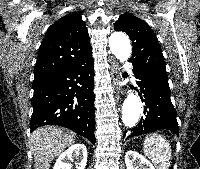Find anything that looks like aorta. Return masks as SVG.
I'll use <instances>...</instances> for the list:
<instances>
[{"mask_svg":"<svg viewBox=\"0 0 200 169\" xmlns=\"http://www.w3.org/2000/svg\"><path fill=\"white\" fill-rule=\"evenodd\" d=\"M109 47L113 55L121 62L128 60L131 56V44L129 38L123 33H114L109 38ZM141 103L139 98L129 91L122 105L123 124L132 128L139 120Z\"/></svg>","mask_w":200,"mask_h":169,"instance_id":"aorta-1","label":"aorta"}]
</instances>
